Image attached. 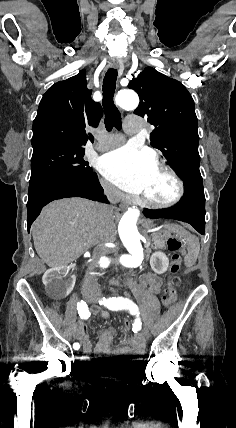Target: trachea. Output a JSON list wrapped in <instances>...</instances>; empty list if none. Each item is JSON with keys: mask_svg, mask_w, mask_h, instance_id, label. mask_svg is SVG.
Instances as JSON below:
<instances>
[{"mask_svg": "<svg viewBox=\"0 0 236 428\" xmlns=\"http://www.w3.org/2000/svg\"><path fill=\"white\" fill-rule=\"evenodd\" d=\"M117 75L116 68H109L103 80L102 105L105 113L104 123L108 131L112 130L114 126L121 129V115L113 101Z\"/></svg>", "mask_w": 236, "mask_h": 428, "instance_id": "obj_1", "label": "trachea"}]
</instances>
